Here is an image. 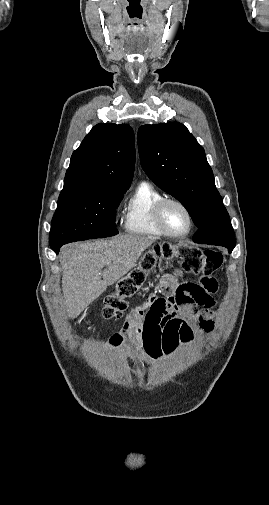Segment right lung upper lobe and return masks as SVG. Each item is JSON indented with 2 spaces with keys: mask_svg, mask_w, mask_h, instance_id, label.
<instances>
[{
  "mask_svg": "<svg viewBox=\"0 0 269 505\" xmlns=\"http://www.w3.org/2000/svg\"><path fill=\"white\" fill-rule=\"evenodd\" d=\"M134 163L132 128L127 124H98L73 152L63 189L127 190Z\"/></svg>",
  "mask_w": 269,
  "mask_h": 505,
  "instance_id": "cb5924a9",
  "label": "right lung upper lobe"
}]
</instances>
